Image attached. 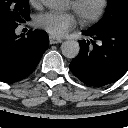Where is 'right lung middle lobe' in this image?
<instances>
[{
    "label": "right lung middle lobe",
    "mask_w": 128,
    "mask_h": 128,
    "mask_svg": "<svg viewBox=\"0 0 128 128\" xmlns=\"http://www.w3.org/2000/svg\"><path fill=\"white\" fill-rule=\"evenodd\" d=\"M28 20V0H0V27H17Z\"/></svg>",
    "instance_id": "dd1d6c3e"
}]
</instances>
